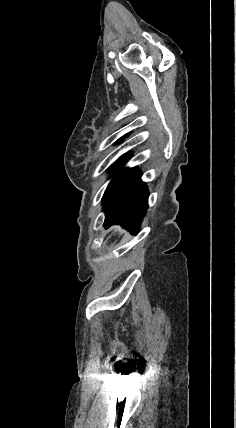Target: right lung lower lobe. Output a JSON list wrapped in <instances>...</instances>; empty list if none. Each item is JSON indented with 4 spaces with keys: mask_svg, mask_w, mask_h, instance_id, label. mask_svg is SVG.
Wrapping results in <instances>:
<instances>
[{
    "mask_svg": "<svg viewBox=\"0 0 236 428\" xmlns=\"http://www.w3.org/2000/svg\"><path fill=\"white\" fill-rule=\"evenodd\" d=\"M141 173L132 168L126 176L103 197L106 228L120 224L135 233L148 208V189L140 180Z\"/></svg>",
    "mask_w": 236,
    "mask_h": 428,
    "instance_id": "98d812e1",
    "label": "right lung lower lobe"
}]
</instances>
